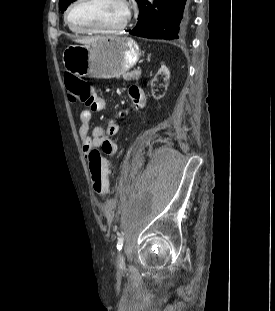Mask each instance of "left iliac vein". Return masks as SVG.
I'll use <instances>...</instances> for the list:
<instances>
[{
	"label": "left iliac vein",
	"instance_id": "left-iliac-vein-1",
	"mask_svg": "<svg viewBox=\"0 0 275 311\" xmlns=\"http://www.w3.org/2000/svg\"><path fill=\"white\" fill-rule=\"evenodd\" d=\"M117 265H118L119 267H124V265H125V260H124V257H123V255H122V253H119V254H118V257H117Z\"/></svg>",
	"mask_w": 275,
	"mask_h": 311
}]
</instances>
